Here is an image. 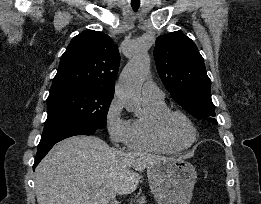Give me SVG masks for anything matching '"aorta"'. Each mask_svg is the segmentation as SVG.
Segmentation results:
<instances>
[{
    "label": "aorta",
    "mask_w": 261,
    "mask_h": 204,
    "mask_svg": "<svg viewBox=\"0 0 261 204\" xmlns=\"http://www.w3.org/2000/svg\"><path fill=\"white\" fill-rule=\"evenodd\" d=\"M150 57L147 52L134 54L120 74L116 87L117 97L124 103L126 110L141 113V84L148 74Z\"/></svg>",
    "instance_id": "obj_1"
}]
</instances>
